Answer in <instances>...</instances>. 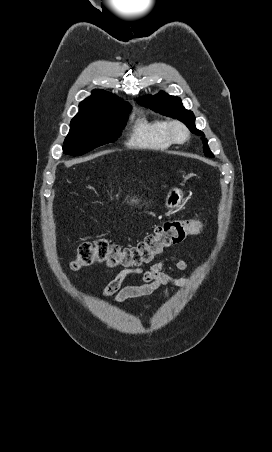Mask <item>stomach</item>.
Segmentation results:
<instances>
[{
  "mask_svg": "<svg viewBox=\"0 0 272 452\" xmlns=\"http://www.w3.org/2000/svg\"><path fill=\"white\" fill-rule=\"evenodd\" d=\"M185 193L182 189L173 187L169 190L166 197V208L173 210L182 206Z\"/></svg>",
  "mask_w": 272,
  "mask_h": 452,
  "instance_id": "1",
  "label": "stomach"
}]
</instances>
